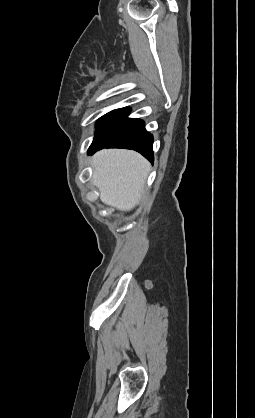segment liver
Wrapping results in <instances>:
<instances>
[{"instance_id": "1", "label": "liver", "mask_w": 255, "mask_h": 418, "mask_svg": "<svg viewBox=\"0 0 255 418\" xmlns=\"http://www.w3.org/2000/svg\"><path fill=\"white\" fill-rule=\"evenodd\" d=\"M92 182L100 191V200L121 211H130L140 201L150 163L139 153L102 150L92 158Z\"/></svg>"}]
</instances>
